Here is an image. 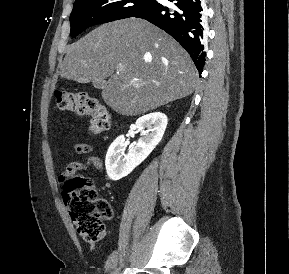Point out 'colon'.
I'll return each instance as SVG.
<instances>
[{
	"instance_id": "5ec220e1",
	"label": "colon",
	"mask_w": 289,
	"mask_h": 274,
	"mask_svg": "<svg viewBox=\"0 0 289 274\" xmlns=\"http://www.w3.org/2000/svg\"><path fill=\"white\" fill-rule=\"evenodd\" d=\"M55 97L60 110L89 115L91 131L100 133L110 128V112L86 92L57 91ZM63 199L81 237L91 242L100 240L105 232L104 222L112 217V209L107 200L98 197L93 180L85 176L66 180Z\"/></svg>"
}]
</instances>
